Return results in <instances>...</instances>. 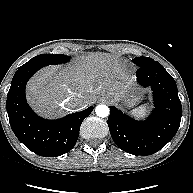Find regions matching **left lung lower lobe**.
<instances>
[{
	"instance_id": "1",
	"label": "left lung lower lobe",
	"mask_w": 193,
	"mask_h": 193,
	"mask_svg": "<svg viewBox=\"0 0 193 193\" xmlns=\"http://www.w3.org/2000/svg\"><path fill=\"white\" fill-rule=\"evenodd\" d=\"M137 80L153 91L155 109L145 121H136L110 106L108 126L116 145L133 155H151L163 148L176 134L182 107L176 82L158 62L139 67Z\"/></svg>"
}]
</instances>
